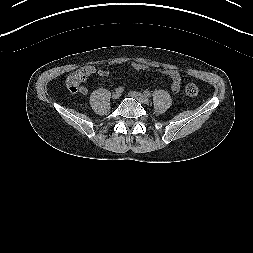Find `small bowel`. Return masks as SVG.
I'll list each match as a JSON object with an SVG mask.
<instances>
[{"instance_id":"obj_1","label":"small bowel","mask_w":253,"mask_h":253,"mask_svg":"<svg viewBox=\"0 0 253 253\" xmlns=\"http://www.w3.org/2000/svg\"><path fill=\"white\" fill-rule=\"evenodd\" d=\"M131 67L134 68V69H147V66H145L144 64L142 63H139V62H133L131 64ZM87 68L90 70V73H94L96 71L95 67L94 66H87ZM164 73L169 77L170 79V82H171V88L174 92H178L180 90V87H181V77H180V74L174 70V69H166L164 70ZM98 74L100 76H105L108 74V71L106 70H99L98 71ZM87 87L86 86H81L80 87V90H79V93H81L82 95H85L87 94Z\"/></svg>"}]
</instances>
